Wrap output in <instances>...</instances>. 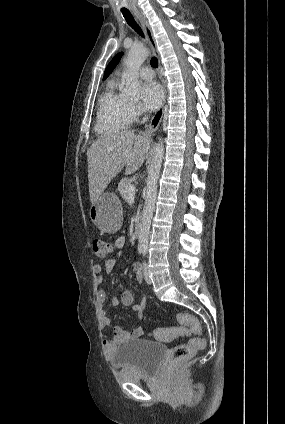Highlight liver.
<instances>
[{"label": "liver", "instance_id": "6515ba94", "mask_svg": "<svg viewBox=\"0 0 285 424\" xmlns=\"http://www.w3.org/2000/svg\"><path fill=\"white\" fill-rule=\"evenodd\" d=\"M150 144L148 136L124 130L103 135L89 147L88 181L92 204L124 167L125 174L130 175L142 166Z\"/></svg>", "mask_w": 285, "mask_h": 424}]
</instances>
